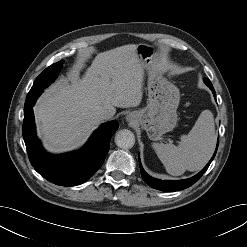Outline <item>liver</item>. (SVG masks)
<instances>
[{"label": "liver", "instance_id": "6515ba94", "mask_svg": "<svg viewBox=\"0 0 247 247\" xmlns=\"http://www.w3.org/2000/svg\"><path fill=\"white\" fill-rule=\"evenodd\" d=\"M137 45L120 46L96 55L82 78L74 75L48 89L34 107L39 135L51 152L82 146L99 126L98 113L136 107L142 101L146 66Z\"/></svg>", "mask_w": 247, "mask_h": 247}]
</instances>
